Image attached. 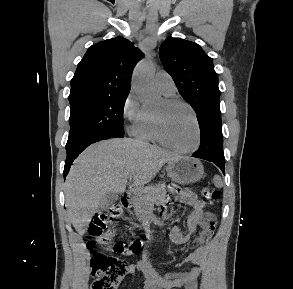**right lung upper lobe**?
<instances>
[{
	"label": "right lung upper lobe",
	"instance_id": "1",
	"mask_svg": "<svg viewBox=\"0 0 293 289\" xmlns=\"http://www.w3.org/2000/svg\"><path fill=\"white\" fill-rule=\"evenodd\" d=\"M141 57V51L120 36L92 45L71 80L69 101L128 95L133 69Z\"/></svg>",
	"mask_w": 293,
	"mask_h": 289
}]
</instances>
